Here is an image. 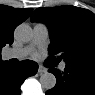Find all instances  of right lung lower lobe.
Listing matches in <instances>:
<instances>
[{"instance_id":"98d812e1","label":"right lung lower lobe","mask_w":95,"mask_h":95,"mask_svg":"<svg viewBox=\"0 0 95 95\" xmlns=\"http://www.w3.org/2000/svg\"><path fill=\"white\" fill-rule=\"evenodd\" d=\"M38 65L31 60H24L17 65L0 63V95H20V86L24 80L36 74Z\"/></svg>"}]
</instances>
